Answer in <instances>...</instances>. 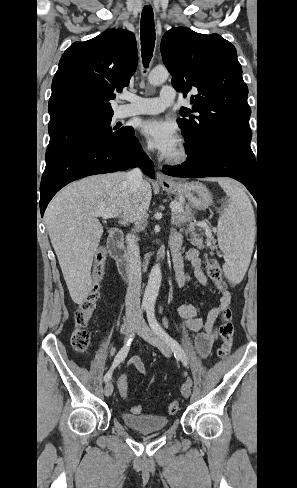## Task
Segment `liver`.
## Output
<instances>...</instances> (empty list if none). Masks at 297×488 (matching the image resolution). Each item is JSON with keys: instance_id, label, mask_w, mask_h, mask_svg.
<instances>
[{"instance_id": "6515ba94", "label": "liver", "mask_w": 297, "mask_h": 488, "mask_svg": "<svg viewBox=\"0 0 297 488\" xmlns=\"http://www.w3.org/2000/svg\"><path fill=\"white\" fill-rule=\"evenodd\" d=\"M151 185L133 190L126 172L90 176L58 192L45 212V223L70 296L76 304L91 287L93 257L103 234L96 212L115 209L122 224L141 220L150 206Z\"/></svg>"}]
</instances>
